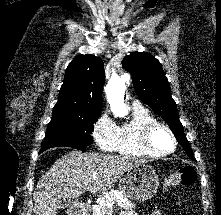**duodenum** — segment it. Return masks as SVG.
<instances>
[{"label":"duodenum","instance_id":"1","mask_svg":"<svg viewBox=\"0 0 221 215\" xmlns=\"http://www.w3.org/2000/svg\"><path fill=\"white\" fill-rule=\"evenodd\" d=\"M75 215H82L81 213L75 214Z\"/></svg>","mask_w":221,"mask_h":215}]
</instances>
